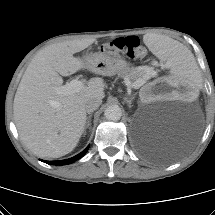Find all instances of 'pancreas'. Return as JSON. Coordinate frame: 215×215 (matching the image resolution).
I'll return each instance as SVG.
<instances>
[{"label":"pancreas","instance_id":"pancreas-1","mask_svg":"<svg viewBox=\"0 0 215 215\" xmlns=\"http://www.w3.org/2000/svg\"><path fill=\"white\" fill-rule=\"evenodd\" d=\"M154 71V68L152 67H141L138 69H128L126 72H124L123 74H120L121 77L125 78L126 80H128L131 84V86H135V82L139 79H145V78H149L150 76H152Z\"/></svg>","mask_w":215,"mask_h":215}]
</instances>
